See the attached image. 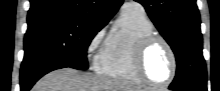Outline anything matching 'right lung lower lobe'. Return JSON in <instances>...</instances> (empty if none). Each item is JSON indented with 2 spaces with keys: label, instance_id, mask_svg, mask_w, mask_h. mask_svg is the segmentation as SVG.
<instances>
[{
  "label": "right lung lower lobe",
  "instance_id": "1",
  "mask_svg": "<svg viewBox=\"0 0 220 91\" xmlns=\"http://www.w3.org/2000/svg\"><path fill=\"white\" fill-rule=\"evenodd\" d=\"M66 67L67 66L63 64H50V65H46L40 68L36 73L29 74L24 77H20L21 91L30 90V88L34 85V83L46 73L56 70V69L66 68Z\"/></svg>",
  "mask_w": 220,
  "mask_h": 91
}]
</instances>
